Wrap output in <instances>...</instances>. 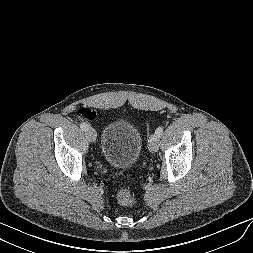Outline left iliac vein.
I'll list each match as a JSON object with an SVG mask.
<instances>
[{"label":"left iliac vein","mask_w":253,"mask_h":253,"mask_svg":"<svg viewBox=\"0 0 253 253\" xmlns=\"http://www.w3.org/2000/svg\"><path fill=\"white\" fill-rule=\"evenodd\" d=\"M159 138L160 137L157 136L156 134H153V135L150 136L149 143H148V148L152 153L157 152L158 149H159V141H160Z\"/></svg>","instance_id":"1"}]
</instances>
